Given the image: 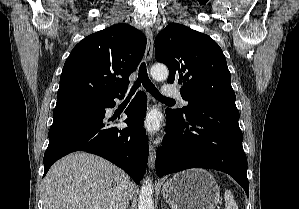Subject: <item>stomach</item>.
Masks as SVG:
<instances>
[{"label": "stomach", "instance_id": "obj_1", "mask_svg": "<svg viewBox=\"0 0 299 209\" xmlns=\"http://www.w3.org/2000/svg\"><path fill=\"white\" fill-rule=\"evenodd\" d=\"M173 209H215L220 192L213 176L204 169H189L175 174L162 188Z\"/></svg>", "mask_w": 299, "mask_h": 209}]
</instances>
